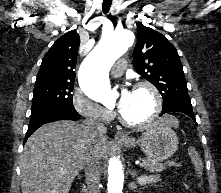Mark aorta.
Wrapping results in <instances>:
<instances>
[{
	"label": "aorta",
	"mask_w": 221,
	"mask_h": 193,
	"mask_svg": "<svg viewBox=\"0 0 221 193\" xmlns=\"http://www.w3.org/2000/svg\"><path fill=\"white\" fill-rule=\"evenodd\" d=\"M128 30L114 31L104 36L88 54L79 69V83L85 95L93 101L106 103L113 98L108 70L134 43ZM124 172L120 161L112 158L108 166V193H122Z\"/></svg>",
	"instance_id": "762f6f07"
}]
</instances>
